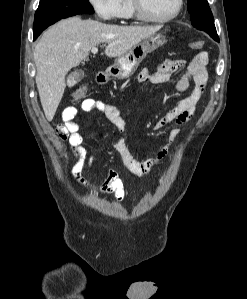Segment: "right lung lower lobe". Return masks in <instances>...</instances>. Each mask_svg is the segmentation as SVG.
<instances>
[{
  "label": "right lung lower lobe",
  "instance_id": "obj_1",
  "mask_svg": "<svg viewBox=\"0 0 247 299\" xmlns=\"http://www.w3.org/2000/svg\"><path fill=\"white\" fill-rule=\"evenodd\" d=\"M39 35H33V40H35Z\"/></svg>",
  "mask_w": 247,
  "mask_h": 299
}]
</instances>
